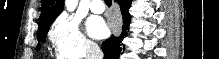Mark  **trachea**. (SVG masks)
I'll list each match as a JSON object with an SVG mask.
<instances>
[{
    "label": "trachea",
    "instance_id": "trachea-1",
    "mask_svg": "<svg viewBox=\"0 0 219 59\" xmlns=\"http://www.w3.org/2000/svg\"><path fill=\"white\" fill-rule=\"evenodd\" d=\"M104 2L109 7L112 5V0H104Z\"/></svg>",
    "mask_w": 219,
    "mask_h": 59
}]
</instances>
